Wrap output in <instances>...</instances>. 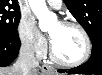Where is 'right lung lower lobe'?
<instances>
[{"label":"right lung lower lobe","mask_w":102,"mask_h":75,"mask_svg":"<svg viewBox=\"0 0 102 75\" xmlns=\"http://www.w3.org/2000/svg\"><path fill=\"white\" fill-rule=\"evenodd\" d=\"M19 49L18 35L15 37L0 35V67L11 65L18 56Z\"/></svg>","instance_id":"1"}]
</instances>
